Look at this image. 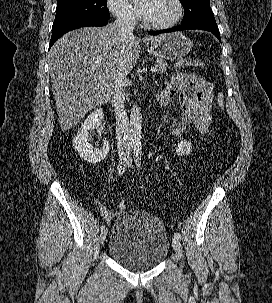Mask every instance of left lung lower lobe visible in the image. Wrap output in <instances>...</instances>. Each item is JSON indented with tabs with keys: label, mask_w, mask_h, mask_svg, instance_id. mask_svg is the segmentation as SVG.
<instances>
[{
	"label": "left lung lower lobe",
	"mask_w": 272,
	"mask_h": 303,
	"mask_svg": "<svg viewBox=\"0 0 272 303\" xmlns=\"http://www.w3.org/2000/svg\"><path fill=\"white\" fill-rule=\"evenodd\" d=\"M192 29H200V30L209 31V32L213 33L219 39V41H221L220 32H219L218 26L216 24V21L203 22V23L190 24V25H182L181 24L180 26L170 28V29H166V30L150 31L149 34L158 35V34L166 33V32H175V31L192 30Z\"/></svg>",
	"instance_id": "1"
}]
</instances>
